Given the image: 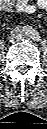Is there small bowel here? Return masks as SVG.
<instances>
[{"mask_svg": "<svg viewBox=\"0 0 47 129\" xmlns=\"http://www.w3.org/2000/svg\"><path fill=\"white\" fill-rule=\"evenodd\" d=\"M31 0H1L0 6L4 11H11L15 9L18 12L32 14L37 9H45L47 7V0H36L31 3Z\"/></svg>", "mask_w": 47, "mask_h": 129, "instance_id": "small-bowel-1", "label": "small bowel"}]
</instances>
